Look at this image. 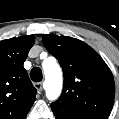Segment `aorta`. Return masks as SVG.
<instances>
[{
	"mask_svg": "<svg viewBox=\"0 0 119 119\" xmlns=\"http://www.w3.org/2000/svg\"><path fill=\"white\" fill-rule=\"evenodd\" d=\"M42 67L45 74L46 97L51 101L56 100L60 96L63 85L61 68L54 58L44 60Z\"/></svg>",
	"mask_w": 119,
	"mask_h": 119,
	"instance_id": "obj_1",
	"label": "aorta"
}]
</instances>
